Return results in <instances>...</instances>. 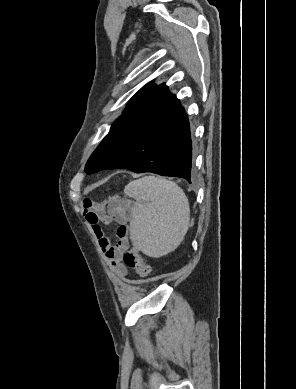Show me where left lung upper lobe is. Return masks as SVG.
<instances>
[{"instance_id": "1", "label": "left lung upper lobe", "mask_w": 296, "mask_h": 389, "mask_svg": "<svg viewBox=\"0 0 296 389\" xmlns=\"http://www.w3.org/2000/svg\"><path fill=\"white\" fill-rule=\"evenodd\" d=\"M160 86V85H159ZM159 86H156L153 84V82H149L148 84H146L142 89H140L134 96L133 98L131 99V101L129 102L126 110L124 111V113H126L127 111H129L130 109H132L134 106H136L138 103H140L142 100H144L146 97H148L152 92H154ZM123 113V114H124ZM122 114V115H123ZM121 115V116H122ZM120 116V117H121ZM119 117V118H120ZM118 118V119H119ZM98 166H99V163L98 161L96 160L95 156H94V153L91 155V157L89 158L87 164H86V172L87 173H94V172H97L98 171Z\"/></svg>"}]
</instances>
